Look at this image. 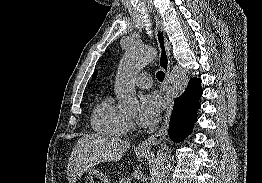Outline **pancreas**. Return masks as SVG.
I'll list each match as a JSON object with an SVG mask.
<instances>
[{"mask_svg":"<svg viewBox=\"0 0 262 183\" xmlns=\"http://www.w3.org/2000/svg\"><path fill=\"white\" fill-rule=\"evenodd\" d=\"M118 183H131V179L130 178H121L119 179Z\"/></svg>","mask_w":262,"mask_h":183,"instance_id":"pancreas-1","label":"pancreas"}]
</instances>
